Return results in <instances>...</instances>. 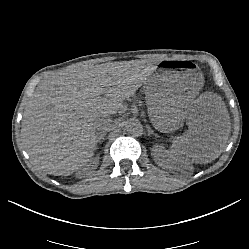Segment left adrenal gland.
<instances>
[{
	"label": "left adrenal gland",
	"mask_w": 249,
	"mask_h": 249,
	"mask_svg": "<svg viewBox=\"0 0 249 249\" xmlns=\"http://www.w3.org/2000/svg\"><path fill=\"white\" fill-rule=\"evenodd\" d=\"M153 130L151 128H148V135H151Z\"/></svg>",
	"instance_id": "a2214340"
}]
</instances>
